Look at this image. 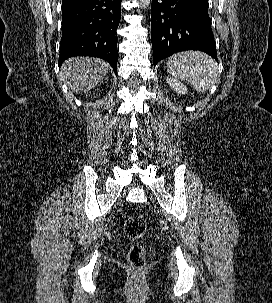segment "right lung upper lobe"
<instances>
[{"label":"right lung upper lobe","mask_w":272,"mask_h":303,"mask_svg":"<svg viewBox=\"0 0 272 303\" xmlns=\"http://www.w3.org/2000/svg\"><path fill=\"white\" fill-rule=\"evenodd\" d=\"M78 1H80V0H62V7L76 3Z\"/></svg>","instance_id":"1"}]
</instances>
